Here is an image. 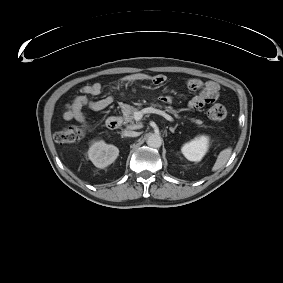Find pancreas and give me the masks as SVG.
Instances as JSON below:
<instances>
[{"mask_svg":"<svg viewBox=\"0 0 283 283\" xmlns=\"http://www.w3.org/2000/svg\"><path fill=\"white\" fill-rule=\"evenodd\" d=\"M155 107H161V105H154ZM138 108H135L133 106H129L127 105L124 109H123V120L125 124H128V127L130 128H135L137 127V125L134 123V112L137 111ZM166 111H168L169 113H172L175 117L179 118L178 115V111H176L175 109H173V107L168 106L166 107ZM193 122H195L196 124L200 125L202 124L201 120H193Z\"/></svg>","mask_w":283,"mask_h":283,"instance_id":"pancreas-1","label":"pancreas"}]
</instances>
